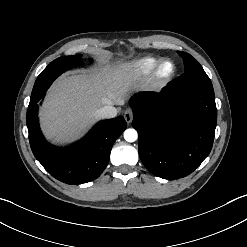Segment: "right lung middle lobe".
<instances>
[{"label":"right lung middle lobe","mask_w":247,"mask_h":247,"mask_svg":"<svg viewBox=\"0 0 247 247\" xmlns=\"http://www.w3.org/2000/svg\"><path fill=\"white\" fill-rule=\"evenodd\" d=\"M81 55L63 56L52 61L38 76L30 98V102L38 100L49 88L52 82L63 72L78 66ZM90 61H92L90 59Z\"/></svg>","instance_id":"obj_1"}]
</instances>
